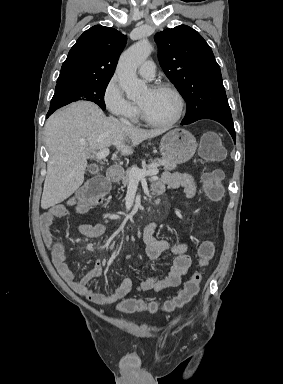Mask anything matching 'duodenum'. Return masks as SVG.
I'll return each instance as SVG.
<instances>
[{
    "label": "duodenum",
    "instance_id": "1",
    "mask_svg": "<svg viewBox=\"0 0 283 384\" xmlns=\"http://www.w3.org/2000/svg\"><path fill=\"white\" fill-rule=\"evenodd\" d=\"M123 173V169L117 165H111L108 170V179L110 181L116 182L120 180ZM154 191L158 193V190L154 188Z\"/></svg>",
    "mask_w": 283,
    "mask_h": 384
}]
</instances>
